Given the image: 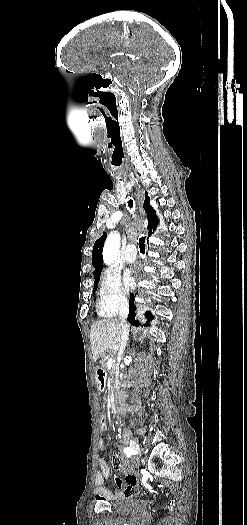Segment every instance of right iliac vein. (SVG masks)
Returning a JSON list of instances; mask_svg holds the SVG:
<instances>
[{
  "mask_svg": "<svg viewBox=\"0 0 247 525\" xmlns=\"http://www.w3.org/2000/svg\"><path fill=\"white\" fill-rule=\"evenodd\" d=\"M129 444H130V447H131V449L133 450V452H134L135 454H139V452H140V448H139L138 443H137L135 440L130 439V440H129Z\"/></svg>",
  "mask_w": 247,
  "mask_h": 525,
  "instance_id": "63e3f726",
  "label": "right iliac vein"
}]
</instances>
